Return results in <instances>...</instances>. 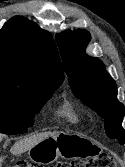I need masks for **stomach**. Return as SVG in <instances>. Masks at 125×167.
<instances>
[{"label":"stomach","mask_w":125,"mask_h":167,"mask_svg":"<svg viewBox=\"0 0 125 167\" xmlns=\"http://www.w3.org/2000/svg\"><path fill=\"white\" fill-rule=\"evenodd\" d=\"M101 153V147L81 133L60 132L37 143L28 151L35 163H52L58 158L91 157Z\"/></svg>","instance_id":"0dacf381"}]
</instances>
